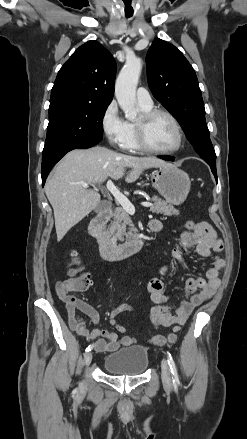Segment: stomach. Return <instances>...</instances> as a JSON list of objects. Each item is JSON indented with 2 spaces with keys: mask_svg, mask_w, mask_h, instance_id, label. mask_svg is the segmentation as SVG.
<instances>
[{
  "mask_svg": "<svg viewBox=\"0 0 247 439\" xmlns=\"http://www.w3.org/2000/svg\"><path fill=\"white\" fill-rule=\"evenodd\" d=\"M153 187L167 203L182 204L190 191L191 181L186 172L174 165L160 167L150 174Z\"/></svg>",
  "mask_w": 247,
  "mask_h": 439,
  "instance_id": "1",
  "label": "stomach"
}]
</instances>
